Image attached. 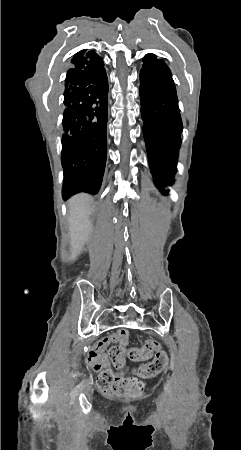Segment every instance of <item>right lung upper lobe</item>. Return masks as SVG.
<instances>
[{
  "label": "right lung upper lobe",
  "mask_w": 241,
  "mask_h": 450,
  "mask_svg": "<svg viewBox=\"0 0 241 450\" xmlns=\"http://www.w3.org/2000/svg\"><path fill=\"white\" fill-rule=\"evenodd\" d=\"M102 58L93 50L82 49L77 52L71 60L72 68H82L88 65H95L100 62Z\"/></svg>",
  "instance_id": "right-lung-upper-lobe-1"
}]
</instances>
